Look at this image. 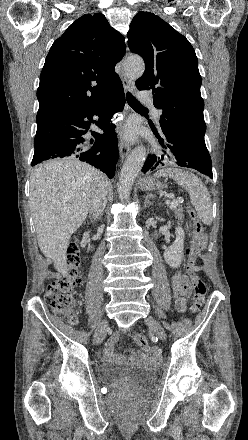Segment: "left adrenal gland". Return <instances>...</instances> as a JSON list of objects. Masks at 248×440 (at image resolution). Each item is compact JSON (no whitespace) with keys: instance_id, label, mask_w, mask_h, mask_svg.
Segmentation results:
<instances>
[{"instance_id":"obj_1","label":"left adrenal gland","mask_w":248,"mask_h":440,"mask_svg":"<svg viewBox=\"0 0 248 440\" xmlns=\"http://www.w3.org/2000/svg\"><path fill=\"white\" fill-rule=\"evenodd\" d=\"M147 205H151V203H150V201H149L148 197H146V198H145V202H144V208H146V207H147Z\"/></svg>"}]
</instances>
